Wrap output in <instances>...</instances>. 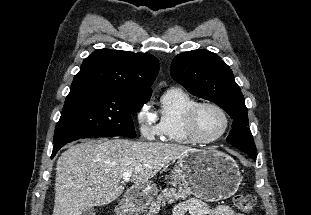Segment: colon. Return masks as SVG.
<instances>
[{
  "instance_id": "obj_1",
  "label": "colon",
  "mask_w": 311,
  "mask_h": 215,
  "mask_svg": "<svg viewBox=\"0 0 311 215\" xmlns=\"http://www.w3.org/2000/svg\"><path fill=\"white\" fill-rule=\"evenodd\" d=\"M233 204L241 212V215H248L256 205V198L251 194H238L234 196Z\"/></svg>"
}]
</instances>
